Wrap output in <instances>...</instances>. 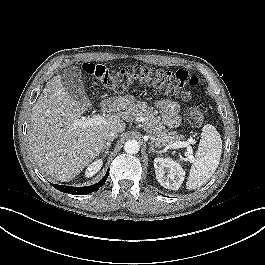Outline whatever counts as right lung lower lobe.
Returning <instances> with one entry per match:
<instances>
[{
	"instance_id": "1",
	"label": "right lung lower lobe",
	"mask_w": 265,
	"mask_h": 265,
	"mask_svg": "<svg viewBox=\"0 0 265 265\" xmlns=\"http://www.w3.org/2000/svg\"><path fill=\"white\" fill-rule=\"evenodd\" d=\"M108 175H109V170L100 182H98L94 185H91V186L72 187V186H65V185H54V187L61 192H65V193H69V194H74V195L89 194V193L99 189L106 182Z\"/></svg>"
}]
</instances>
